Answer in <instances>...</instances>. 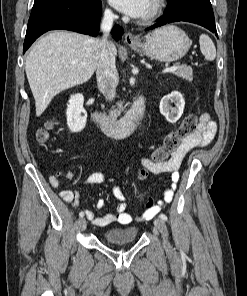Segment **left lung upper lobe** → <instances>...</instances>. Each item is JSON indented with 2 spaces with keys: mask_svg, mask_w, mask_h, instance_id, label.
Instances as JSON below:
<instances>
[{
  "mask_svg": "<svg viewBox=\"0 0 247 296\" xmlns=\"http://www.w3.org/2000/svg\"><path fill=\"white\" fill-rule=\"evenodd\" d=\"M184 0H168V5L170 7H174L176 6L177 4H180L181 2H183Z\"/></svg>",
  "mask_w": 247,
  "mask_h": 296,
  "instance_id": "left-lung-upper-lobe-1",
  "label": "left lung upper lobe"
}]
</instances>
